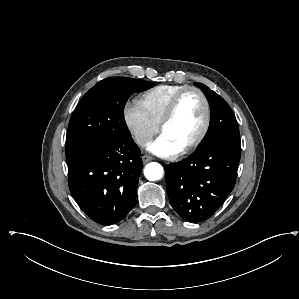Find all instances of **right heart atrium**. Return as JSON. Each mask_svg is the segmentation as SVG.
Masks as SVG:
<instances>
[{"instance_id": "obj_1", "label": "right heart atrium", "mask_w": 299, "mask_h": 299, "mask_svg": "<svg viewBox=\"0 0 299 299\" xmlns=\"http://www.w3.org/2000/svg\"><path fill=\"white\" fill-rule=\"evenodd\" d=\"M123 115L132 139L139 146L145 145L158 131V126L149 119L137 102L126 104Z\"/></svg>"}]
</instances>
